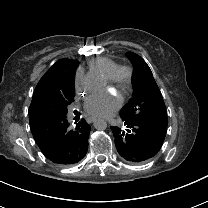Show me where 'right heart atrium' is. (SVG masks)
I'll return each mask as SVG.
<instances>
[{
	"label": "right heart atrium",
	"mask_w": 208,
	"mask_h": 208,
	"mask_svg": "<svg viewBox=\"0 0 208 208\" xmlns=\"http://www.w3.org/2000/svg\"><path fill=\"white\" fill-rule=\"evenodd\" d=\"M73 88L76 94L78 95H84L87 93V89H86L85 81H84V74L80 70L77 71L74 76Z\"/></svg>",
	"instance_id": "d8ad5b80"
}]
</instances>
